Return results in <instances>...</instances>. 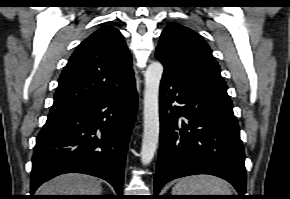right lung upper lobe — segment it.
Segmentation results:
<instances>
[{
  "instance_id": "cb5924a9",
  "label": "right lung upper lobe",
  "mask_w": 290,
  "mask_h": 199,
  "mask_svg": "<svg viewBox=\"0 0 290 199\" xmlns=\"http://www.w3.org/2000/svg\"><path fill=\"white\" fill-rule=\"evenodd\" d=\"M134 81L132 58L119 30L103 27L77 47L59 78L50 110L123 92Z\"/></svg>"
}]
</instances>
